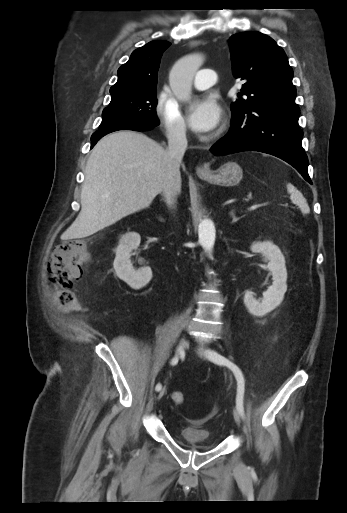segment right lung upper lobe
Listing matches in <instances>:
<instances>
[{
  "mask_svg": "<svg viewBox=\"0 0 347 513\" xmlns=\"http://www.w3.org/2000/svg\"><path fill=\"white\" fill-rule=\"evenodd\" d=\"M170 45L168 41L155 40L134 50L128 62L118 69V80L110 93L156 88L160 59Z\"/></svg>",
  "mask_w": 347,
  "mask_h": 513,
  "instance_id": "obj_1",
  "label": "right lung upper lobe"
}]
</instances>
